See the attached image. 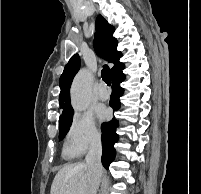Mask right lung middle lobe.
Returning a JSON list of instances; mask_svg holds the SVG:
<instances>
[{
	"instance_id": "dd1d6c3e",
	"label": "right lung middle lobe",
	"mask_w": 201,
	"mask_h": 194,
	"mask_svg": "<svg viewBox=\"0 0 201 194\" xmlns=\"http://www.w3.org/2000/svg\"><path fill=\"white\" fill-rule=\"evenodd\" d=\"M72 118H73V115L59 119V122H60L59 138H60V140H62L65 137V135L67 134V132L69 131V128L72 123Z\"/></svg>"
}]
</instances>
